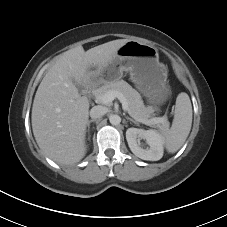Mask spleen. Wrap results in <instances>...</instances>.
Listing matches in <instances>:
<instances>
[{"mask_svg": "<svg viewBox=\"0 0 227 227\" xmlns=\"http://www.w3.org/2000/svg\"><path fill=\"white\" fill-rule=\"evenodd\" d=\"M192 126V105L187 93L181 92L176 99L172 126L165 132L164 144L169 153L177 152L185 143Z\"/></svg>", "mask_w": 227, "mask_h": 227, "instance_id": "obj_1", "label": "spleen"}]
</instances>
